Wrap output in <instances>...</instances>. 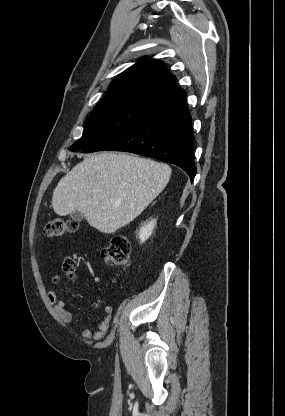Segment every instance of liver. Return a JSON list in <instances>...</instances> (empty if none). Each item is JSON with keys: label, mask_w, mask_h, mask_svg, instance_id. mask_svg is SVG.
<instances>
[{"label": "liver", "mask_w": 285, "mask_h": 416, "mask_svg": "<svg viewBox=\"0 0 285 416\" xmlns=\"http://www.w3.org/2000/svg\"><path fill=\"white\" fill-rule=\"evenodd\" d=\"M167 164L103 152L72 168L53 190L51 206L58 216L79 212L103 234L130 224L166 188Z\"/></svg>", "instance_id": "liver-1"}]
</instances>
